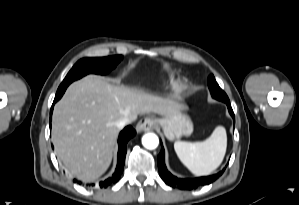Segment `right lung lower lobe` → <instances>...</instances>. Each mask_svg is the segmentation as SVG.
<instances>
[{"label": "right lung lower lobe", "instance_id": "obj_1", "mask_svg": "<svg viewBox=\"0 0 299 205\" xmlns=\"http://www.w3.org/2000/svg\"><path fill=\"white\" fill-rule=\"evenodd\" d=\"M58 100L55 98L54 103ZM54 103L51 108L50 116L52 115ZM135 134H136V131L131 126H127L121 131V133L119 135V140H118V143H119V149H118V155H117L118 161H117V167H116L115 173L111 177L106 179L105 181H101L99 183V186L101 188H107L109 186H112L119 180V178L123 172L124 163H125V156H126V152H127L126 144H127L128 140L130 138H132ZM92 185H94V184H92Z\"/></svg>", "mask_w": 299, "mask_h": 205}]
</instances>
